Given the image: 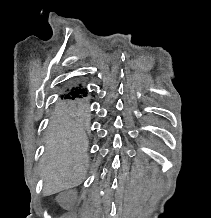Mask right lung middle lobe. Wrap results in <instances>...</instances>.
<instances>
[{
    "instance_id": "obj_1",
    "label": "right lung middle lobe",
    "mask_w": 211,
    "mask_h": 218,
    "mask_svg": "<svg viewBox=\"0 0 211 218\" xmlns=\"http://www.w3.org/2000/svg\"><path fill=\"white\" fill-rule=\"evenodd\" d=\"M55 108L59 112L86 111L90 108V101L85 98H60Z\"/></svg>"
}]
</instances>
